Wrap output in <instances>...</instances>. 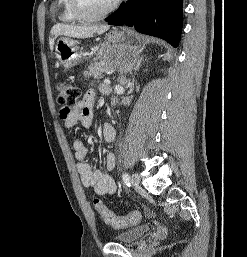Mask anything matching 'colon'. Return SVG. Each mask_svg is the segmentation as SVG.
<instances>
[{
	"instance_id": "obj_1",
	"label": "colon",
	"mask_w": 247,
	"mask_h": 257,
	"mask_svg": "<svg viewBox=\"0 0 247 257\" xmlns=\"http://www.w3.org/2000/svg\"><path fill=\"white\" fill-rule=\"evenodd\" d=\"M58 91V103L66 110L76 104L81 95L80 89L68 82L59 83ZM94 208L106 224L116 229L134 226L141 220L139 211H131L126 216H118L108 209L100 199L94 200Z\"/></svg>"
}]
</instances>
